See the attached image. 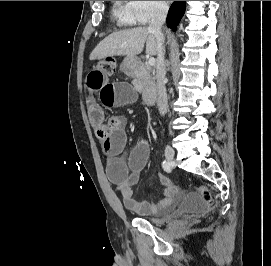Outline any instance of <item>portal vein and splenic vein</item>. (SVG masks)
Instances as JSON below:
<instances>
[{
    "mask_svg": "<svg viewBox=\"0 0 271 266\" xmlns=\"http://www.w3.org/2000/svg\"><path fill=\"white\" fill-rule=\"evenodd\" d=\"M148 65L149 66H154L155 65V58L154 57H150L148 60Z\"/></svg>",
    "mask_w": 271,
    "mask_h": 266,
    "instance_id": "1",
    "label": "portal vein and splenic vein"
}]
</instances>
